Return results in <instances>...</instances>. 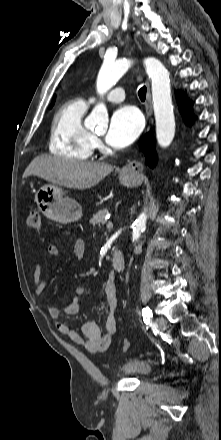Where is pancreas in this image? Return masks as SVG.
Returning <instances> with one entry per match:
<instances>
[{
	"label": "pancreas",
	"mask_w": 221,
	"mask_h": 440,
	"mask_svg": "<svg viewBox=\"0 0 221 440\" xmlns=\"http://www.w3.org/2000/svg\"><path fill=\"white\" fill-rule=\"evenodd\" d=\"M109 213L108 209L103 208L101 210H99L96 214L93 215V217L90 220V223L93 226H100L103 225L105 223V216Z\"/></svg>",
	"instance_id": "1"
}]
</instances>
